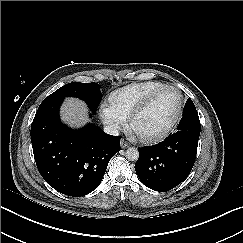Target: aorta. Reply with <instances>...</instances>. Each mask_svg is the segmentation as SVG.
Instances as JSON below:
<instances>
[{
    "label": "aorta",
    "instance_id": "762f6f07",
    "mask_svg": "<svg viewBox=\"0 0 243 243\" xmlns=\"http://www.w3.org/2000/svg\"><path fill=\"white\" fill-rule=\"evenodd\" d=\"M125 156L129 161H137L139 158V151L135 147H129L126 150Z\"/></svg>",
    "mask_w": 243,
    "mask_h": 243
}]
</instances>
